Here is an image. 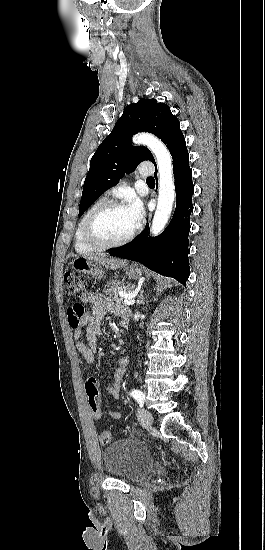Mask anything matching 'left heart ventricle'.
I'll return each mask as SVG.
<instances>
[{
	"label": "left heart ventricle",
	"instance_id": "1",
	"mask_svg": "<svg viewBox=\"0 0 265 550\" xmlns=\"http://www.w3.org/2000/svg\"><path fill=\"white\" fill-rule=\"evenodd\" d=\"M136 225L128 209L110 210L101 215L94 224L95 233L105 241H117L126 237Z\"/></svg>",
	"mask_w": 265,
	"mask_h": 550
}]
</instances>
